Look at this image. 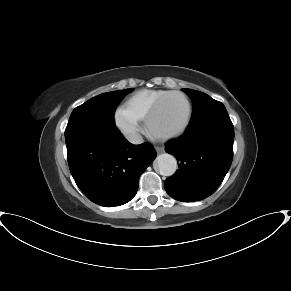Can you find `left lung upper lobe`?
Instances as JSON below:
<instances>
[{"label":"left lung upper lobe","instance_id":"left-lung-upper-lobe-1","mask_svg":"<svg viewBox=\"0 0 291 291\" xmlns=\"http://www.w3.org/2000/svg\"><path fill=\"white\" fill-rule=\"evenodd\" d=\"M183 91L192 99L193 115L190 125L201 121L219 111L226 110L225 106L209 95L197 90L183 89Z\"/></svg>","mask_w":291,"mask_h":291}]
</instances>
